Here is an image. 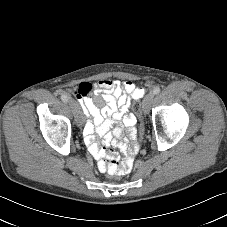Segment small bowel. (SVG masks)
<instances>
[{"instance_id":"obj_1","label":"small bowel","mask_w":227,"mask_h":227,"mask_svg":"<svg viewBox=\"0 0 227 227\" xmlns=\"http://www.w3.org/2000/svg\"><path fill=\"white\" fill-rule=\"evenodd\" d=\"M74 93L85 115L91 117L83 130L84 141L91 155L99 162L107 154L106 149L113 146L118 147L127 158H132L138 151V145L134 143L130 147L127 140L121 138L125 131L132 140L138 138L134 127L136 117L129 109L131 101L142 98L144 90L130 80L101 79L80 84ZM97 139H101V144ZM98 165L101 171H105L103 165Z\"/></svg>"}]
</instances>
